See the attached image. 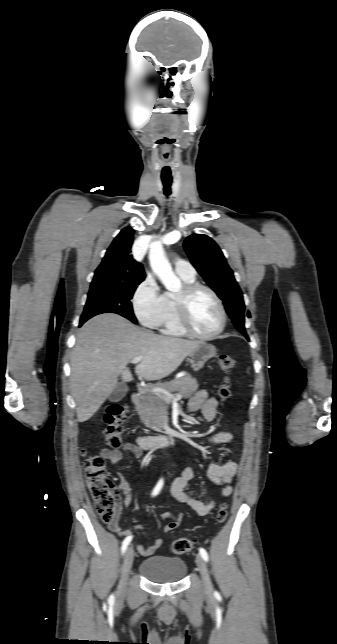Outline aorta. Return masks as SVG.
I'll list each match as a JSON object with an SVG mask.
<instances>
[{
	"label": "aorta",
	"mask_w": 337,
	"mask_h": 644,
	"mask_svg": "<svg viewBox=\"0 0 337 644\" xmlns=\"http://www.w3.org/2000/svg\"><path fill=\"white\" fill-rule=\"evenodd\" d=\"M149 261L153 272L158 276L165 288L177 292L181 288L180 279L173 273L172 267L165 256L162 244L154 241L150 245Z\"/></svg>",
	"instance_id": "1"
}]
</instances>
